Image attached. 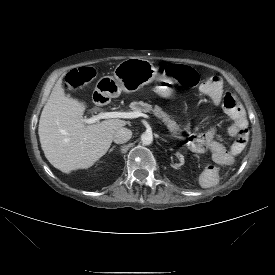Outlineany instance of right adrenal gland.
Wrapping results in <instances>:
<instances>
[{"instance_id": "right-adrenal-gland-1", "label": "right adrenal gland", "mask_w": 275, "mask_h": 275, "mask_svg": "<svg viewBox=\"0 0 275 275\" xmlns=\"http://www.w3.org/2000/svg\"><path fill=\"white\" fill-rule=\"evenodd\" d=\"M115 148H116V146H113V147L109 150V152H112Z\"/></svg>"}]
</instances>
